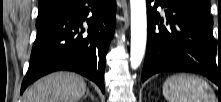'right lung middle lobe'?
<instances>
[{"instance_id": "right-lung-middle-lobe-1", "label": "right lung middle lobe", "mask_w": 221, "mask_h": 102, "mask_svg": "<svg viewBox=\"0 0 221 102\" xmlns=\"http://www.w3.org/2000/svg\"><path fill=\"white\" fill-rule=\"evenodd\" d=\"M61 8H59V7H52V8H46V9H39L38 18H37V23L36 24H38V23L46 20L47 18L51 17L52 15L57 13Z\"/></svg>"}]
</instances>
